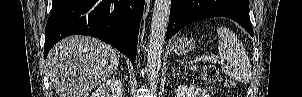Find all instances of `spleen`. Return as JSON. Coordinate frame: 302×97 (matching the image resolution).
<instances>
[{"instance_id":"obj_1","label":"spleen","mask_w":302,"mask_h":97,"mask_svg":"<svg viewBox=\"0 0 302 97\" xmlns=\"http://www.w3.org/2000/svg\"><path fill=\"white\" fill-rule=\"evenodd\" d=\"M219 35L218 54L225 60L222 70L225 74L240 81L249 83L251 79V64L242 42L226 27H218Z\"/></svg>"}]
</instances>
